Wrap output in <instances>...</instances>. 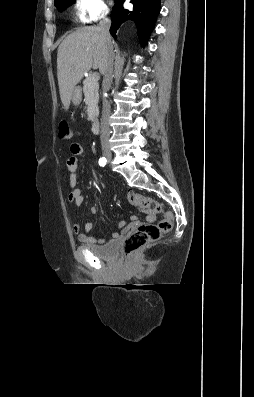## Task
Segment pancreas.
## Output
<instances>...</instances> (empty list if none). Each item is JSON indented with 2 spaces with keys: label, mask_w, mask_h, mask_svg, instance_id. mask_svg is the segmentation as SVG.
Wrapping results in <instances>:
<instances>
[{
  "label": "pancreas",
  "mask_w": 254,
  "mask_h": 397,
  "mask_svg": "<svg viewBox=\"0 0 254 397\" xmlns=\"http://www.w3.org/2000/svg\"><path fill=\"white\" fill-rule=\"evenodd\" d=\"M98 91V79L93 80L92 76H89L83 81V93L85 96V103L87 105V114L89 121H94L95 118L98 116Z\"/></svg>",
  "instance_id": "cf45deb5"
}]
</instances>
